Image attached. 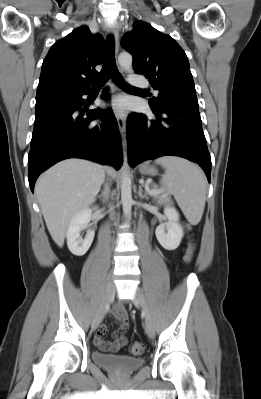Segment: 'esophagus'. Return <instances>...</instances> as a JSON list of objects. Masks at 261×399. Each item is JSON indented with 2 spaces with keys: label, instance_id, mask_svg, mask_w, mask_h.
<instances>
[{
  "label": "esophagus",
  "instance_id": "34e87169",
  "mask_svg": "<svg viewBox=\"0 0 261 399\" xmlns=\"http://www.w3.org/2000/svg\"><path fill=\"white\" fill-rule=\"evenodd\" d=\"M109 32L113 35L115 42V53H118V43H119V30L116 26L110 27ZM117 123L121 134H124L126 126V114L124 112H115Z\"/></svg>",
  "mask_w": 261,
  "mask_h": 399
}]
</instances>
